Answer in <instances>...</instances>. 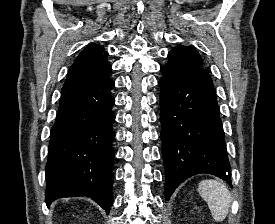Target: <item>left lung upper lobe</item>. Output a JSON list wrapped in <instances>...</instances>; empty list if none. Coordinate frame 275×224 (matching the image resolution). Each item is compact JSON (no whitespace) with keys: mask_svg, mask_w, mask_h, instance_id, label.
Masks as SVG:
<instances>
[{"mask_svg":"<svg viewBox=\"0 0 275 224\" xmlns=\"http://www.w3.org/2000/svg\"><path fill=\"white\" fill-rule=\"evenodd\" d=\"M168 63L162 67L170 74H187L196 72L211 80L209 73L203 68L199 53L192 47L178 45L168 53Z\"/></svg>","mask_w":275,"mask_h":224,"instance_id":"obj_1","label":"left lung upper lobe"}]
</instances>
